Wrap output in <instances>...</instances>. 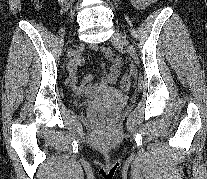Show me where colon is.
Segmentation results:
<instances>
[{
	"label": "colon",
	"instance_id": "obj_1",
	"mask_svg": "<svg viewBox=\"0 0 207 179\" xmlns=\"http://www.w3.org/2000/svg\"><path fill=\"white\" fill-rule=\"evenodd\" d=\"M36 6H41L42 4V0H32ZM131 77L132 75L130 73H127L123 76L122 80H121V84H120V87H121V90L123 92H128L130 90V87H131Z\"/></svg>",
	"mask_w": 207,
	"mask_h": 179
}]
</instances>
